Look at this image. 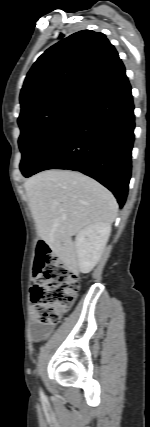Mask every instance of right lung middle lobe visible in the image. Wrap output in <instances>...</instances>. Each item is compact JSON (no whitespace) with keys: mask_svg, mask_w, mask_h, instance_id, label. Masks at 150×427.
<instances>
[{"mask_svg":"<svg viewBox=\"0 0 150 427\" xmlns=\"http://www.w3.org/2000/svg\"><path fill=\"white\" fill-rule=\"evenodd\" d=\"M78 108L77 105L54 104L33 109L19 117L20 170L25 177L32 175Z\"/></svg>","mask_w":150,"mask_h":427,"instance_id":"obj_1","label":"right lung middle lobe"}]
</instances>
